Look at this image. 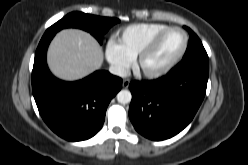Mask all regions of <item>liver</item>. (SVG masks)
I'll return each mask as SVG.
<instances>
[{
    "label": "liver",
    "mask_w": 248,
    "mask_h": 165,
    "mask_svg": "<svg viewBox=\"0 0 248 165\" xmlns=\"http://www.w3.org/2000/svg\"><path fill=\"white\" fill-rule=\"evenodd\" d=\"M103 59L99 43L89 33L78 29L57 33L47 53L51 72L66 81L84 78L99 69Z\"/></svg>",
    "instance_id": "liver-1"
}]
</instances>
